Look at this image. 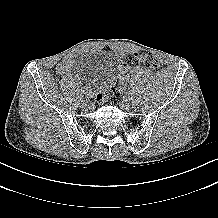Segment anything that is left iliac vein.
Here are the masks:
<instances>
[{
    "label": "left iliac vein",
    "instance_id": "obj_1",
    "mask_svg": "<svg viewBox=\"0 0 218 218\" xmlns=\"http://www.w3.org/2000/svg\"><path fill=\"white\" fill-rule=\"evenodd\" d=\"M122 106L125 108V109H128L130 106H131V102L129 99H123L122 101Z\"/></svg>",
    "mask_w": 218,
    "mask_h": 218
}]
</instances>
